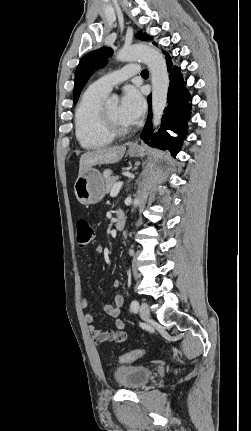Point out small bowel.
<instances>
[{"mask_svg": "<svg viewBox=\"0 0 251 431\" xmlns=\"http://www.w3.org/2000/svg\"><path fill=\"white\" fill-rule=\"evenodd\" d=\"M103 252L102 246L98 245L95 248L96 254H101ZM120 286L119 280H114L112 283V288L114 290L118 289ZM110 303L103 307V311L114 320L115 330H101L94 324V317L92 314L87 313L85 315V321L88 324L89 332L92 336L93 341L96 344H101L104 342L110 343H122L127 339V333L125 331V323L119 319L121 308L124 303V298L120 294H114L111 296ZM80 306L82 309H87L89 307V300L82 296L80 299Z\"/></svg>", "mask_w": 251, "mask_h": 431, "instance_id": "small-bowel-1", "label": "small bowel"}]
</instances>
